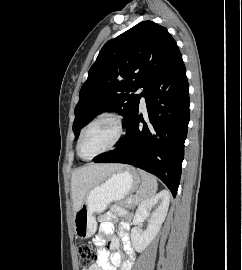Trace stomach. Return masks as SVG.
Wrapping results in <instances>:
<instances>
[{
    "label": "stomach",
    "instance_id": "stomach-1",
    "mask_svg": "<svg viewBox=\"0 0 242 270\" xmlns=\"http://www.w3.org/2000/svg\"><path fill=\"white\" fill-rule=\"evenodd\" d=\"M141 184V178L133 167L125 166L117 170L99 185L87 193L82 206L74 215V231L76 237L87 239L97 228L96 213H102L113 201H121Z\"/></svg>",
    "mask_w": 242,
    "mask_h": 270
}]
</instances>
